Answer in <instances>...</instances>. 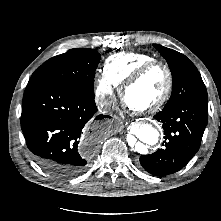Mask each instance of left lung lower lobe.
Masks as SVG:
<instances>
[{
	"label": "left lung lower lobe",
	"mask_w": 221,
	"mask_h": 221,
	"mask_svg": "<svg viewBox=\"0 0 221 221\" xmlns=\"http://www.w3.org/2000/svg\"><path fill=\"white\" fill-rule=\"evenodd\" d=\"M154 118L162 123L164 147L141 156L140 164L153 175L165 176L181 170L197 153L208 121V98L164 107Z\"/></svg>",
	"instance_id": "1"
}]
</instances>
